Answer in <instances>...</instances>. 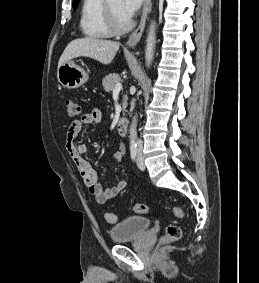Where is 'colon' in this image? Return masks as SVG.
Segmentation results:
<instances>
[{
	"label": "colon",
	"instance_id": "obj_1",
	"mask_svg": "<svg viewBox=\"0 0 259 283\" xmlns=\"http://www.w3.org/2000/svg\"><path fill=\"white\" fill-rule=\"evenodd\" d=\"M66 108H67L68 114L71 117H77L81 114V107L79 103L74 99L66 100ZM133 210L136 213L144 214V213H147L148 207L143 203H137L134 205ZM173 213L179 219H182L184 217V212L179 207H174ZM105 219L107 223L109 224H114L116 222V217L111 212L106 213ZM181 236H182L181 228L177 225L172 224L167 227L166 232L164 236L162 237L161 241L164 243L173 242V241L179 240Z\"/></svg>",
	"mask_w": 259,
	"mask_h": 283
}]
</instances>
